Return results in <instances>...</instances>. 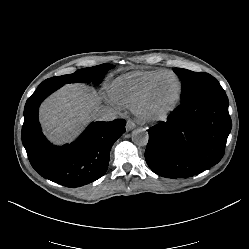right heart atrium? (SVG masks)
Returning <instances> with one entry per match:
<instances>
[{
    "mask_svg": "<svg viewBox=\"0 0 249 249\" xmlns=\"http://www.w3.org/2000/svg\"><path fill=\"white\" fill-rule=\"evenodd\" d=\"M113 104H114V106H115L117 109H121V105H120V103H119V102H117L116 100H115V101H113Z\"/></svg>",
    "mask_w": 249,
    "mask_h": 249,
    "instance_id": "right-heart-atrium-1",
    "label": "right heart atrium"
}]
</instances>
